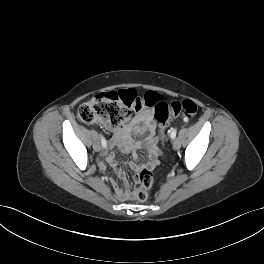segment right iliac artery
<instances>
[{
	"instance_id": "obj_1",
	"label": "right iliac artery",
	"mask_w": 264,
	"mask_h": 264,
	"mask_svg": "<svg viewBox=\"0 0 264 264\" xmlns=\"http://www.w3.org/2000/svg\"><path fill=\"white\" fill-rule=\"evenodd\" d=\"M101 144L104 148L107 146V142L103 136H101Z\"/></svg>"
}]
</instances>
